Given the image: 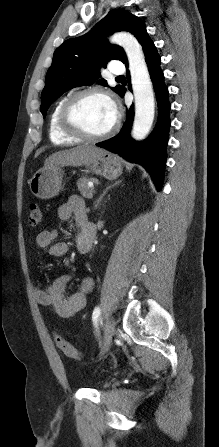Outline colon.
Instances as JSON below:
<instances>
[{
  "label": "colon",
  "instance_id": "obj_1",
  "mask_svg": "<svg viewBox=\"0 0 219 447\" xmlns=\"http://www.w3.org/2000/svg\"><path fill=\"white\" fill-rule=\"evenodd\" d=\"M42 212L38 204L32 203L29 207V224L31 226H37L41 223ZM55 341L58 348L68 358L79 360L81 357L80 352L76 347L67 342L62 336L55 335Z\"/></svg>",
  "mask_w": 219,
  "mask_h": 447
}]
</instances>
